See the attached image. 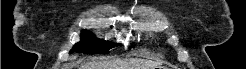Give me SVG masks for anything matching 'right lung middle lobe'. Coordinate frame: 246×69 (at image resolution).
Wrapping results in <instances>:
<instances>
[{
	"mask_svg": "<svg viewBox=\"0 0 246 69\" xmlns=\"http://www.w3.org/2000/svg\"><path fill=\"white\" fill-rule=\"evenodd\" d=\"M80 37V42L75 44L70 53L76 51L85 54H107L109 53V49L115 46L108 41L97 39L94 34L88 30H83Z\"/></svg>",
	"mask_w": 246,
	"mask_h": 69,
	"instance_id": "obj_1",
	"label": "right lung middle lobe"
}]
</instances>
